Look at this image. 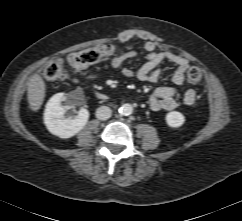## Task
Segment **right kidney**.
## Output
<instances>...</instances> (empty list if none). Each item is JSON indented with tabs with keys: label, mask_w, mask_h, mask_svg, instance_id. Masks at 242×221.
<instances>
[{
	"label": "right kidney",
	"mask_w": 242,
	"mask_h": 221,
	"mask_svg": "<svg viewBox=\"0 0 242 221\" xmlns=\"http://www.w3.org/2000/svg\"><path fill=\"white\" fill-rule=\"evenodd\" d=\"M63 102L66 106L62 105ZM76 105V101L64 93H57L49 99L44 112V124L51 134L66 139L83 129L89 118L87 109L80 108L74 118L64 117L66 109L75 108Z\"/></svg>",
	"instance_id": "ca27d5eb"
}]
</instances>
